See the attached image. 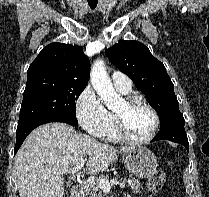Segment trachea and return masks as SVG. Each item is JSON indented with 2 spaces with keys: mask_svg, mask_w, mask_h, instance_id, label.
I'll use <instances>...</instances> for the list:
<instances>
[{
  "mask_svg": "<svg viewBox=\"0 0 209 197\" xmlns=\"http://www.w3.org/2000/svg\"><path fill=\"white\" fill-rule=\"evenodd\" d=\"M98 0H89L88 5L90 6L91 9H95L97 6Z\"/></svg>",
  "mask_w": 209,
  "mask_h": 197,
  "instance_id": "trachea-1",
  "label": "trachea"
}]
</instances>
